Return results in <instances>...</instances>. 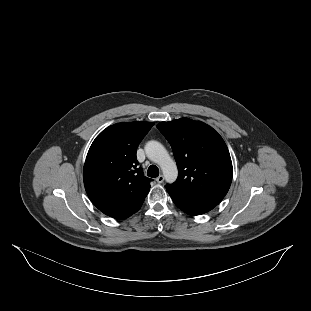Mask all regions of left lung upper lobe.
<instances>
[{
	"instance_id": "obj_1",
	"label": "left lung upper lobe",
	"mask_w": 311,
	"mask_h": 311,
	"mask_svg": "<svg viewBox=\"0 0 311 311\" xmlns=\"http://www.w3.org/2000/svg\"><path fill=\"white\" fill-rule=\"evenodd\" d=\"M170 143L178 166L175 183L167 190L192 200L218 205L233 176L232 162L222 137L209 125L181 118L157 125Z\"/></svg>"
}]
</instances>
